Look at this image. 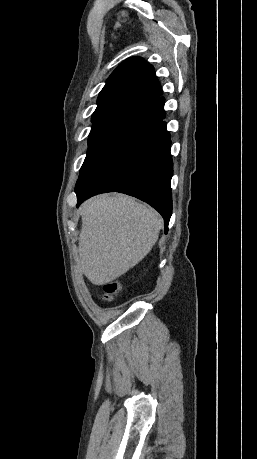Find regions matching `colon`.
I'll list each match as a JSON object with an SVG mask.
<instances>
[{"label":"colon","instance_id":"colon-1","mask_svg":"<svg viewBox=\"0 0 257 459\" xmlns=\"http://www.w3.org/2000/svg\"><path fill=\"white\" fill-rule=\"evenodd\" d=\"M121 284L117 280H110L103 285V297L104 301L113 300L114 296L120 291Z\"/></svg>","mask_w":257,"mask_h":459}]
</instances>
